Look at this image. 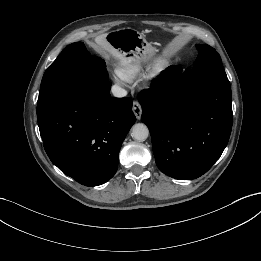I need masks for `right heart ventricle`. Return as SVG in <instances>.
<instances>
[{
  "label": "right heart ventricle",
  "instance_id": "e07e8e85",
  "mask_svg": "<svg viewBox=\"0 0 261 261\" xmlns=\"http://www.w3.org/2000/svg\"><path fill=\"white\" fill-rule=\"evenodd\" d=\"M141 72L139 65L132 62H123L118 65L117 74L125 81L135 79Z\"/></svg>",
  "mask_w": 261,
  "mask_h": 261
}]
</instances>
